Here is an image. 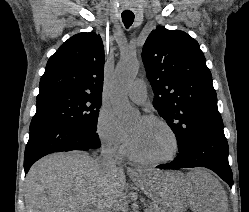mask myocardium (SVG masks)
Listing matches in <instances>:
<instances>
[{"instance_id": "myocardium-1", "label": "myocardium", "mask_w": 249, "mask_h": 212, "mask_svg": "<svg viewBox=\"0 0 249 212\" xmlns=\"http://www.w3.org/2000/svg\"><path fill=\"white\" fill-rule=\"evenodd\" d=\"M141 118L145 121H148V122H157V123L161 124L163 127H165V129L171 134V136L174 140L175 148H174L173 153L167 158L159 159V160H148V159H144V158L140 157L139 155H137L133 151V149L130 145L129 146V154H130L131 159L139 164L146 165V166H160V165H165V164H168V163L174 161L178 157L180 150H181L180 139H179L176 131L174 130V128L164 118L156 116V115H144Z\"/></svg>"}]
</instances>
